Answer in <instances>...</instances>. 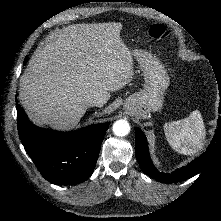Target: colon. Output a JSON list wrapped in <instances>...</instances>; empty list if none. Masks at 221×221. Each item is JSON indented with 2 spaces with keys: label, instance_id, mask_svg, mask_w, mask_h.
Here are the masks:
<instances>
[{
  "label": "colon",
  "instance_id": "5ec220e1",
  "mask_svg": "<svg viewBox=\"0 0 221 221\" xmlns=\"http://www.w3.org/2000/svg\"><path fill=\"white\" fill-rule=\"evenodd\" d=\"M148 34L151 38L160 40L166 38L168 32L163 25L154 24L150 27Z\"/></svg>",
  "mask_w": 221,
  "mask_h": 221
}]
</instances>
